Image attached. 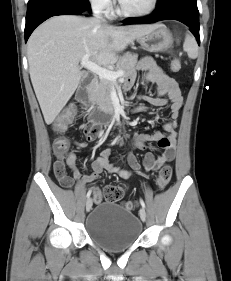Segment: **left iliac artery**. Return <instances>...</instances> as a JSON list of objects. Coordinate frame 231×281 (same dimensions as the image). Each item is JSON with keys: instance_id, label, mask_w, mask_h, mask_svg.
Segmentation results:
<instances>
[{"instance_id": "44dca946", "label": "left iliac artery", "mask_w": 231, "mask_h": 281, "mask_svg": "<svg viewBox=\"0 0 231 281\" xmlns=\"http://www.w3.org/2000/svg\"><path fill=\"white\" fill-rule=\"evenodd\" d=\"M140 204H141L142 208L145 209V203L142 199H140Z\"/></svg>"}]
</instances>
